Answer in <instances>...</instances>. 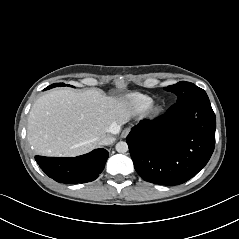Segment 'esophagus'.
<instances>
[{
    "label": "esophagus",
    "mask_w": 239,
    "mask_h": 239,
    "mask_svg": "<svg viewBox=\"0 0 239 239\" xmlns=\"http://www.w3.org/2000/svg\"><path fill=\"white\" fill-rule=\"evenodd\" d=\"M130 132V128H125L122 132H121V137L125 138Z\"/></svg>",
    "instance_id": "1"
}]
</instances>
